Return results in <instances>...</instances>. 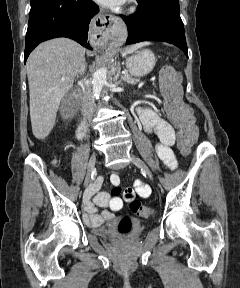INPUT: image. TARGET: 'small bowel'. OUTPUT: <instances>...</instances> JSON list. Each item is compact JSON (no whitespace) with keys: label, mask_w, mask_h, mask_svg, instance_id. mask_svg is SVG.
<instances>
[{"label":"small bowel","mask_w":240,"mask_h":288,"mask_svg":"<svg viewBox=\"0 0 240 288\" xmlns=\"http://www.w3.org/2000/svg\"><path fill=\"white\" fill-rule=\"evenodd\" d=\"M137 113L139 121L147 134L154 133L159 143L156 145V151L161 161L171 169L177 165L171 146L175 142V132L172 126L163 119L156 110L150 108H138ZM114 185L111 193L100 191L102 179L98 178L89 187L85 193L83 204L85 209L84 219L90 226H99L103 221L111 220L113 212L118 211L123 206V200L120 198L121 188L120 177L118 174H112L110 177ZM142 198H147L151 194V188L148 184L137 179L134 182V189L128 188ZM94 200L92 201V199ZM96 206L103 208L101 213H97Z\"/></svg>","instance_id":"obj_1"}]
</instances>
